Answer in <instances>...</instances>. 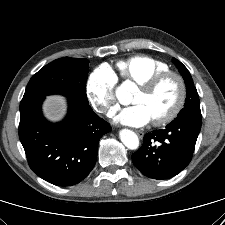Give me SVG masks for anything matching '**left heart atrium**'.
<instances>
[{
	"instance_id": "left-heart-atrium-1",
	"label": "left heart atrium",
	"mask_w": 225,
	"mask_h": 225,
	"mask_svg": "<svg viewBox=\"0 0 225 225\" xmlns=\"http://www.w3.org/2000/svg\"><path fill=\"white\" fill-rule=\"evenodd\" d=\"M147 108L142 104L124 107L115 113L114 121L123 125L141 127L151 121Z\"/></svg>"
}]
</instances>
